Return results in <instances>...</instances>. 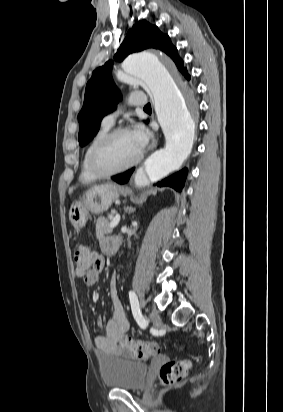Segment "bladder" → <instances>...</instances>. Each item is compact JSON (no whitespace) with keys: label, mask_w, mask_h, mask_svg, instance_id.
Instances as JSON below:
<instances>
[{"label":"bladder","mask_w":283,"mask_h":412,"mask_svg":"<svg viewBox=\"0 0 283 412\" xmlns=\"http://www.w3.org/2000/svg\"><path fill=\"white\" fill-rule=\"evenodd\" d=\"M99 365L102 382L110 389L138 391L147 382L149 365L146 362L105 357Z\"/></svg>","instance_id":"1"}]
</instances>
